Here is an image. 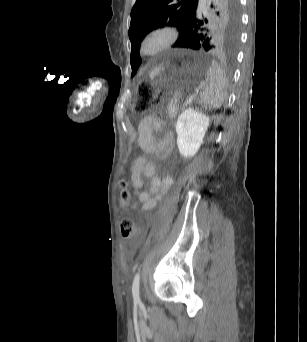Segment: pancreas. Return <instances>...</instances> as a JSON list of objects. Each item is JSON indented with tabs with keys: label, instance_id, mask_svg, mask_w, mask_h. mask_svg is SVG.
<instances>
[{
	"label": "pancreas",
	"instance_id": "cf45deb5",
	"mask_svg": "<svg viewBox=\"0 0 307 342\" xmlns=\"http://www.w3.org/2000/svg\"><path fill=\"white\" fill-rule=\"evenodd\" d=\"M178 105L177 103H170V105L167 108V116L168 117H173L175 114V111L177 110Z\"/></svg>",
	"mask_w": 307,
	"mask_h": 342
}]
</instances>
